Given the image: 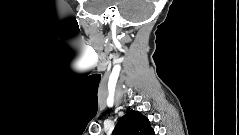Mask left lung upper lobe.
Here are the masks:
<instances>
[{"mask_svg": "<svg viewBox=\"0 0 239 135\" xmlns=\"http://www.w3.org/2000/svg\"><path fill=\"white\" fill-rule=\"evenodd\" d=\"M113 135H154L148 118L140 112L128 110L115 126Z\"/></svg>", "mask_w": 239, "mask_h": 135, "instance_id": "obj_1", "label": "left lung upper lobe"}]
</instances>
